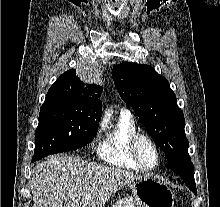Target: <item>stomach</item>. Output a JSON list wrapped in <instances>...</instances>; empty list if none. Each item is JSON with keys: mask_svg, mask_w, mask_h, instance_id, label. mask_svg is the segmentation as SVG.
Listing matches in <instances>:
<instances>
[{"mask_svg": "<svg viewBox=\"0 0 220 207\" xmlns=\"http://www.w3.org/2000/svg\"><path fill=\"white\" fill-rule=\"evenodd\" d=\"M130 188L131 196L116 201L112 207H173V191L155 177L144 176Z\"/></svg>", "mask_w": 220, "mask_h": 207, "instance_id": "1", "label": "stomach"}]
</instances>
